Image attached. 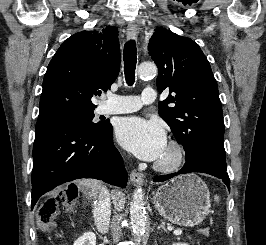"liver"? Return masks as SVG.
Masks as SVG:
<instances>
[{"mask_svg": "<svg viewBox=\"0 0 266 245\" xmlns=\"http://www.w3.org/2000/svg\"><path fill=\"white\" fill-rule=\"evenodd\" d=\"M78 185H82V187H86L88 191H90L91 197H94L95 193H99L100 189H102L103 185L101 181H95V179H83V181H77ZM112 201L115 209L117 211H122L125 205V197L121 191H112Z\"/></svg>", "mask_w": 266, "mask_h": 245, "instance_id": "obj_1", "label": "liver"}]
</instances>
